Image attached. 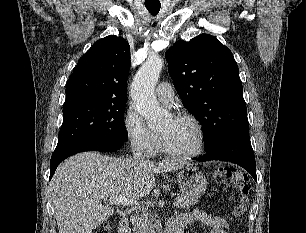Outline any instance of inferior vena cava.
<instances>
[{
  "instance_id": "obj_1",
  "label": "inferior vena cava",
  "mask_w": 306,
  "mask_h": 233,
  "mask_svg": "<svg viewBox=\"0 0 306 233\" xmlns=\"http://www.w3.org/2000/svg\"><path fill=\"white\" fill-rule=\"evenodd\" d=\"M133 157L134 159L138 160V161H145L142 156H141V150L139 148L135 149L133 151Z\"/></svg>"
}]
</instances>
